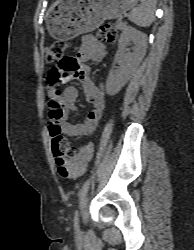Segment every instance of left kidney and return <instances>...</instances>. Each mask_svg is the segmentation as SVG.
Masks as SVG:
<instances>
[{
	"label": "left kidney",
	"instance_id": "left-kidney-1",
	"mask_svg": "<svg viewBox=\"0 0 194 250\" xmlns=\"http://www.w3.org/2000/svg\"><path fill=\"white\" fill-rule=\"evenodd\" d=\"M130 42H133V52L127 49ZM146 49V34L133 27H126L119 38L118 51L115 55L119 68L110 75L107 81L108 91L119 90L127 83L143 60Z\"/></svg>",
	"mask_w": 194,
	"mask_h": 250
}]
</instances>
